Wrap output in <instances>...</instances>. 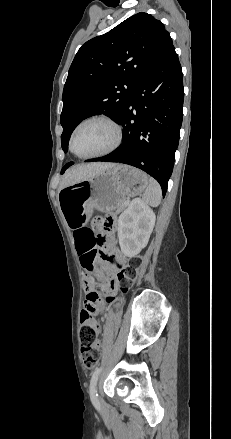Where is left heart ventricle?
<instances>
[{
  "label": "left heart ventricle",
  "instance_id": "left-heart-ventricle-1",
  "mask_svg": "<svg viewBox=\"0 0 231 439\" xmlns=\"http://www.w3.org/2000/svg\"><path fill=\"white\" fill-rule=\"evenodd\" d=\"M113 141L114 131L110 125L103 121H90L75 133L73 148L79 155H88L105 150Z\"/></svg>",
  "mask_w": 231,
  "mask_h": 439
}]
</instances>
